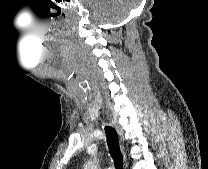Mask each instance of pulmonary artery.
<instances>
[{
  "label": "pulmonary artery",
  "mask_w": 208,
  "mask_h": 169,
  "mask_svg": "<svg viewBox=\"0 0 208 169\" xmlns=\"http://www.w3.org/2000/svg\"><path fill=\"white\" fill-rule=\"evenodd\" d=\"M105 169H112V167H107V168H105Z\"/></svg>",
  "instance_id": "1"
}]
</instances>
